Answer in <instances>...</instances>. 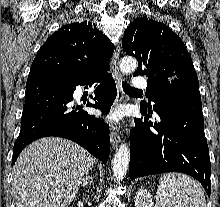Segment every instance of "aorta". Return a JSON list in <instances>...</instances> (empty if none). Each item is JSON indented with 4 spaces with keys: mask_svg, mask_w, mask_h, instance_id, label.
<instances>
[{
    "mask_svg": "<svg viewBox=\"0 0 220 207\" xmlns=\"http://www.w3.org/2000/svg\"><path fill=\"white\" fill-rule=\"evenodd\" d=\"M136 69L137 61L135 58L126 56L121 59L120 70L122 73H132ZM129 160L128 145L126 143H122L116 151L112 162L113 175L117 181H121L125 177L129 165Z\"/></svg>",
    "mask_w": 220,
    "mask_h": 207,
    "instance_id": "1",
    "label": "aorta"
}]
</instances>
